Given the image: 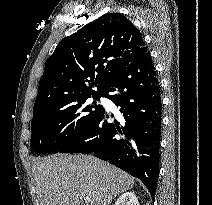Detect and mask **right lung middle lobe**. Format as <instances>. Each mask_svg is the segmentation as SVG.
<instances>
[{
    "instance_id": "1",
    "label": "right lung middle lobe",
    "mask_w": 212,
    "mask_h": 205,
    "mask_svg": "<svg viewBox=\"0 0 212 205\" xmlns=\"http://www.w3.org/2000/svg\"><path fill=\"white\" fill-rule=\"evenodd\" d=\"M102 94L34 111L31 122V149L39 154L57 152L82 134L104 109L95 102L89 104L88 100H99Z\"/></svg>"
}]
</instances>
